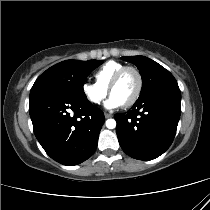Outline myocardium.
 I'll return each mask as SVG.
<instances>
[{
    "label": "myocardium",
    "instance_id": "myocardium-1",
    "mask_svg": "<svg viewBox=\"0 0 210 210\" xmlns=\"http://www.w3.org/2000/svg\"><path fill=\"white\" fill-rule=\"evenodd\" d=\"M127 71H133L137 75L138 87H137V90H136L134 96L129 101H127L126 103L123 104L124 107H130V106L134 105L139 100V98L142 94V91H143V87H144V79H143V76H142V73L140 72V70L134 66H124L120 70H118V72L114 75V77L108 87V92L110 94H111L112 90L115 88V86L120 82L122 76Z\"/></svg>",
    "mask_w": 210,
    "mask_h": 210
}]
</instances>
